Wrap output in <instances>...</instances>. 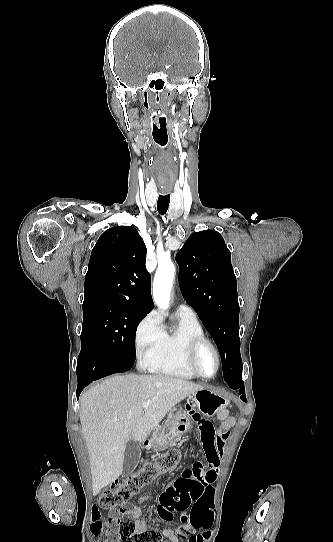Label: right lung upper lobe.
Returning a JSON list of instances; mask_svg holds the SVG:
<instances>
[{
  "label": "right lung upper lobe",
  "instance_id": "1",
  "mask_svg": "<svg viewBox=\"0 0 333 542\" xmlns=\"http://www.w3.org/2000/svg\"><path fill=\"white\" fill-rule=\"evenodd\" d=\"M146 246L133 226L106 230L92 249L85 276L83 306L118 305L150 312L151 277Z\"/></svg>",
  "mask_w": 333,
  "mask_h": 542
}]
</instances>
